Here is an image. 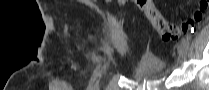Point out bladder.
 Wrapping results in <instances>:
<instances>
[{
  "label": "bladder",
  "mask_w": 209,
  "mask_h": 90,
  "mask_svg": "<svg viewBox=\"0 0 209 90\" xmlns=\"http://www.w3.org/2000/svg\"><path fill=\"white\" fill-rule=\"evenodd\" d=\"M165 63L152 55L143 56L133 70L137 80H157L163 77Z\"/></svg>",
  "instance_id": "1"
}]
</instances>
